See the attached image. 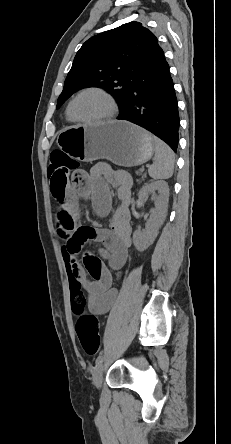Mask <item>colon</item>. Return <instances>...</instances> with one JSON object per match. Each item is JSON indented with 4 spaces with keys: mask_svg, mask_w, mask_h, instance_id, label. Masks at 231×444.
I'll use <instances>...</instances> for the list:
<instances>
[{
    "mask_svg": "<svg viewBox=\"0 0 231 444\" xmlns=\"http://www.w3.org/2000/svg\"><path fill=\"white\" fill-rule=\"evenodd\" d=\"M79 163L67 156L62 151H53L50 155V164L48 173L58 187L61 184L71 180L74 173L79 170ZM94 230L89 227L79 228L80 234L93 233ZM71 303L75 314L77 315L76 331L83 350L90 356L97 353L100 346V324L99 320L87 313L86 298L78 283L70 287Z\"/></svg>",
    "mask_w": 231,
    "mask_h": 444,
    "instance_id": "5ec220e1",
    "label": "colon"
}]
</instances>
